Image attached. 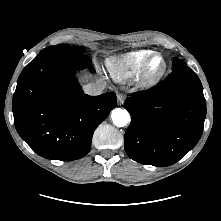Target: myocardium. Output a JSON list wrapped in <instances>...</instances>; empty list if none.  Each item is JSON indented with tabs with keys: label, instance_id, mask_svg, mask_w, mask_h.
<instances>
[{
	"label": "myocardium",
	"instance_id": "f54148a6",
	"mask_svg": "<svg viewBox=\"0 0 221 221\" xmlns=\"http://www.w3.org/2000/svg\"><path fill=\"white\" fill-rule=\"evenodd\" d=\"M155 58H159L161 60V65L159 68L153 67V61ZM166 70H167V61L165 57L158 52H153L147 58L142 68L141 71L142 81L144 82L145 85L152 86L162 78Z\"/></svg>",
	"mask_w": 221,
	"mask_h": 221
}]
</instances>
